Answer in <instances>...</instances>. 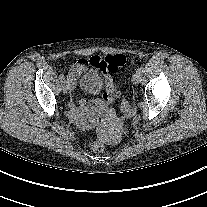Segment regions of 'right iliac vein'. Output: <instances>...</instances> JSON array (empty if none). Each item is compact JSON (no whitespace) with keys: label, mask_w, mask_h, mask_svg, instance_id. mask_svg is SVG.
Listing matches in <instances>:
<instances>
[{"label":"right iliac vein","mask_w":207,"mask_h":207,"mask_svg":"<svg viewBox=\"0 0 207 207\" xmlns=\"http://www.w3.org/2000/svg\"><path fill=\"white\" fill-rule=\"evenodd\" d=\"M69 90H70V85L66 81H64L62 84V91L64 93H67Z\"/></svg>","instance_id":"right-iliac-vein-1"}]
</instances>
